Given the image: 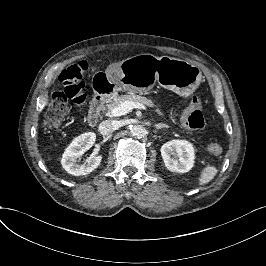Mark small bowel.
<instances>
[{
    "label": "small bowel",
    "mask_w": 266,
    "mask_h": 266,
    "mask_svg": "<svg viewBox=\"0 0 266 266\" xmlns=\"http://www.w3.org/2000/svg\"><path fill=\"white\" fill-rule=\"evenodd\" d=\"M198 106H199L198 102H195V101L193 100V102H192V104H191V106H190V110H193V109H195V108H198Z\"/></svg>",
    "instance_id": "c3829d8e"
}]
</instances>
